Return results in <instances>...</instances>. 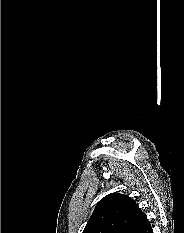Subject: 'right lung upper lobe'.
Returning <instances> with one entry per match:
<instances>
[{"label": "right lung upper lobe", "instance_id": "right-lung-upper-lobe-1", "mask_svg": "<svg viewBox=\"0 0 184 233\" xmlns=\"http://www.w3.org/2000/svg\"><path fill=\"white\" fill-rule=\"evenodd\" d=\"M146 221L133 199L111 193L97 203L83 233H135Z\"/></svg>", "mask_w": 184, "mask_h": 233}]
</instances>
